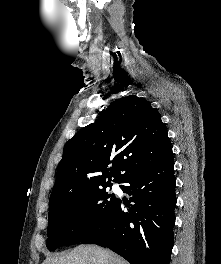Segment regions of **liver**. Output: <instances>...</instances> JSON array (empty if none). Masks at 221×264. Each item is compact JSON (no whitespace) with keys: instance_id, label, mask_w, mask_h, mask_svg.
<instances>
[{"instance_id":"6515ba94","label":"liver","mask_w":221,"mask_h":264,"mask_svg":"<svg viewBox=\"0 0 221 264\" xmlns=\"http://www.w3.org/2000/svg\"><path fill=\"white\" fill-rule=\"evenodd\" d=\"M42 264H129L110 250L97 246H77L67 254L49 256Z\"/></svg>"}]
</instances>
